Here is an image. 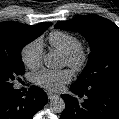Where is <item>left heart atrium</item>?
<instances>
[{"instance_id":"1","label":"left heart atrium","mask_w":119,"mask_h":119,"mask_svg":"<svg viewBox=\"0 0 119 119\" xmlns=\"http://www.w3.org/2000/svg\"><path fill=\"white\" fill-rule=\"evenodd\" d=\"M71 79L72 73L67 69L58 71L42 69L33 75L34 83L49 91H59Z\"/></svg>"}]
</instances>
